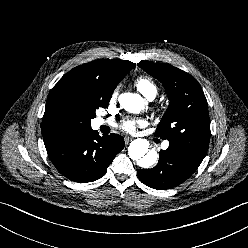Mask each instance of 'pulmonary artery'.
<instances>
[{"mask_svg": "<svg viewBox=\"0 0 248 248\" xmlns=\"http://www.w3.org/2000/svg\"><path fill=\"white\" fill-rule=\"evenodd\" d=\"M154 97H155V95H151L150 97H148V99H149V100H153ZM97 124H98V125L104 124V120H103V119H97ZM162 146H163L164 149L168 148L169 142H167V141L164 142Z\"/></svg>", "mask_w": 248, "mask_h": 248, "instance_id": "1", "label": "pulmonary artery"}]
</instances>
